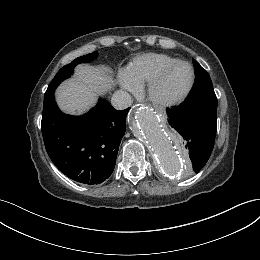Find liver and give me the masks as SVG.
Returning a JSON list of instances; mask_svg holds the SVG:
<instances>
[{
    "label": "liver",
    "instance_id": "obj_1",
    "mask_svg": "<svg viewBox=\"0 0 260 260\" xmlns=\"http://www.w3.org/2000/svg\"><path fill=\"white\" fill-rule=\"evenodd\" d=\"M113 84V78L104 68L79 65L75 77L58 87L57 103L65 113L83 114L95 105L97 96L109 91Z\"/></svg>",
    "mask_w": 260,
    "mask_h": 260
}]
</instances>
